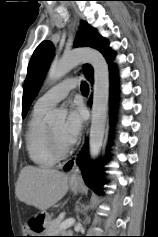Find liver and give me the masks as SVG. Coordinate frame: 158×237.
I'll return each mask as SVG.
<instances>
[{"instance_id":"liver-1","label":"liver","mask_w":158,"mask_h":237,"mask_svg":"<svg viewBox=\"0 0 158 237\" xmlns=\"http://www.w3.org/2000/svg\"><path fill=\"white\" fill-rule=\"evenodd\" d=\"M68 190V175L55 169L25 166L16 184L21 202L45 211L63 198Z\"/></svg>"}]
</instances>
